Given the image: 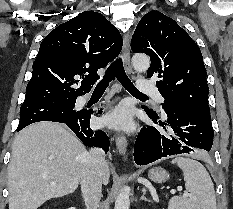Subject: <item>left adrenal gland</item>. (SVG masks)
Segmentation results:
<instances>
[{
    "label": "left adrenal gland",
    "mask_w": 233,
    "mask_h": 209,
    "mask_svg": "<svg viewBox=\"0 0 233 209\" xmlns=\"http://www.w3.org/2000/svg\"><path fill=\"white\" fill-rule=\"evenodd\" d=\"M145 194H146V190L143 189V190H142V196H141L140 200H145V201L150 202V200H148V199L145 197Z\"/></svg>",
    "instance_id": "a2214340"
}]
</instances>
